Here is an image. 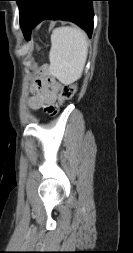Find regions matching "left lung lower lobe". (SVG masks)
Listing matches in <instances>:
<instances>
[{
	"instance_id": "1",
	"label": "left lung lower lobe",
	"mask_w": 133,
	"mask_h": 253,
	"mask_svg": "<svg viewBox=\"0 0 133 253\" xmlns=\"http://www.w3.org/2000/svg\"><path fill=\"white\" fill-rule=\"evenodd\" d=\"M93 1L97 0H23L19 16L25 38L28 40L33 27L45 19L72 21L91 37Z\"/></svg>"
}]
</instances>
